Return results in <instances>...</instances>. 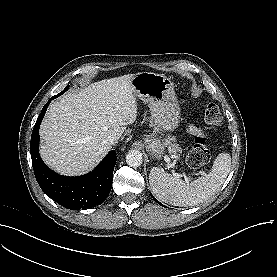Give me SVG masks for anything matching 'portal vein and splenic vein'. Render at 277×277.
Segmentation results:
<instances>
[{"instance_id":"18ae733b","label":"portal vein and splenic vein","mask_w":277,"mask_h":277,"mask_svg":"<svg viewBox=\"0 0 277 277\" xmlns=\"http://www.w3.org/2000/svg\"><path fill=\"white\" fill-rule=\"evenodd\" d=\"M165 161L168 163V165H169L170 167H174L175 164H176V162H171V160H170L169 157H165ZM183 176H184V178L188 181V177H187L185 174H183Z\"/></svg>"}]
</instances>
